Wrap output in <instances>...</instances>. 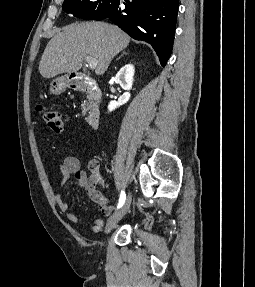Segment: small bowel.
I'll return each mask as SVG.
<instances>
[{
    "label": "small bowel",
    "mask_w": 255,
    "mask_h": 287,
    "mask_svg": "<svg viewBox=\"0 0 255 287\" xmlns=\"http://www.w3.org/2000/svg\"><path fill=\"white\" fill-rule=\"evenodd\" d=\"M60 172L62 175L60 185H64L71 177H74L76 182L85 190L91 200L99 206L100 212L105 216L110 214L111 207L108 199L96 189L95 181L81 169L78 158L74 156L65 157L60 165ZM54 201L59 211L65 215L68 222L72 225H77L79 223L78 217L70 211L69 205L61 193L55 194ZM103 227L104 220L97 218L90 226V232L93 234L99 233Z\"/></svg>",
    "instance_id": "1"
}]
</instances>
